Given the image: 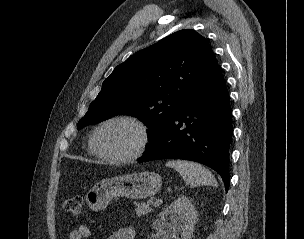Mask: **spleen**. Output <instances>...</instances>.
Wrapping results in <instances>:
<instances>
[{
  "mask_svg": "<svg viewBox=\"0 0 304 239\" xmlns=\"http://www.w3.org/2000/svg\"><path fill=\"white\" fill-rule=\"evenodd\" d=\"M166 166L174 168L190 186H217L215 177L201 164L186 160H171Z\"/></svg>",
  "mask_w": 304,
  "mask_h": 239,
  "instance_id": "spleen-1",
  "label": "spleen"
}]
</instances>
